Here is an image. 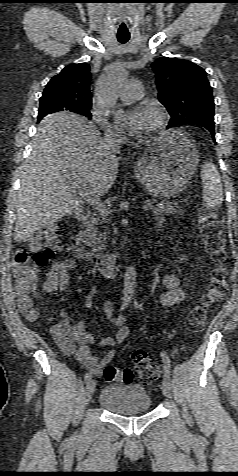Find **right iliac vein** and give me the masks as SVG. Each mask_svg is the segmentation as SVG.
I'll return each instance as SVG.
<instances>
[{
  "label": "right iliac vein",
  "instance_id": "1",
  "mask_svg": "<svg viewBox=\"0 0 238 476\" xmlns=\"http://www.w3.org/2000/svg\"><path fill=\"white\" fill-rule=\"evenodd\" d=\"M95 387H96L95 380H89L87 382L86 390H85V399H84L85 405H87L89 401L91 400L95 391Z\"/></svg>",
  "mask_w": 238,
  "mask_h": 476
}]
</instances>
